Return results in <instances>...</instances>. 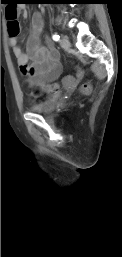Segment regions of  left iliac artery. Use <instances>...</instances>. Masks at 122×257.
<instances>
[{
	"mask_svg": "<svg viewBox=\"0 0 122 257\" xmlns=\"http://www.w3.org/2000/svg\"><path fill=\"white\" fill-rule=\"evenodd\" d=\"M52 39H53L54 41H59L60 36H59L58 34H54V35L52 36Z\"/></svg>",
	"mask_w": 122,
	"mask_h": 257,
	"instance_id": "obj_1",
	"label": "left iliac artery"
}]
</instances>
